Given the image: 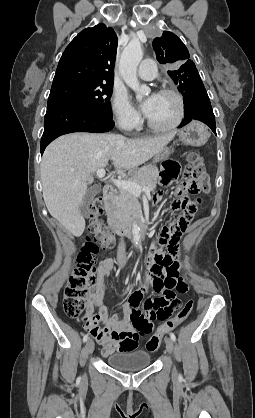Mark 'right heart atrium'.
Returning a JSON list of instances; mask_svg holds the SVG:
<instances>
[{"mask_svg": "<svg viewBox=\"0 0 255 418\" xmlns=\"http://www.w3.org/2000/svg\"><path fill=\"white\" fill-rule=\"evenodd\" d=\"M111 107L114 118L120 127L131 130L138 126L140 116L125 92H114Z\"/></svg>", "mask_w": 255, "mask_h": 418, "instance_id": "right-heart-atrium-1", "label": "right heart atrium"}]
</instances>
